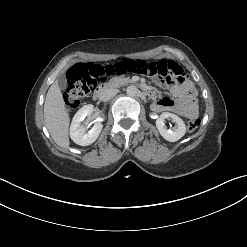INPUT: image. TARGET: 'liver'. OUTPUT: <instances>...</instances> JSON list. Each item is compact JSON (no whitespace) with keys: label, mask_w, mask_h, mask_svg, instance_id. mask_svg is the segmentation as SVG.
<instances>
[{"label":"liver","mask_w":247,"mask_h":247,"mask_svg":"<svg viewBox=\"0 0 247 247\" xmlns=\"http://www.w3.org/2000/svg\"><path fill=\"white\" fill-rule=\"evenodd\" d=\"M44 120L54 142L68 149L70 119L57 81L50 86L47 92L44 103Z\"/></svg>","instance_id":"6515ba94"}]
</instances>
